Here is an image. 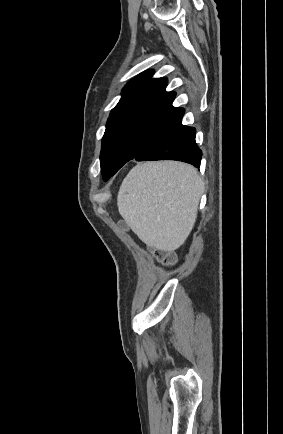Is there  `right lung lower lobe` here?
<instances>
[{"mask_svg": "<svg viewBox=\"0 0 283 434\" xmlns=\"http://www.w3.org/2000/svg\"><path fill=\"white\" fill-rule=\"evenodd\" d=\"M196 130L184 126L181 119L151 141L134 159L178 160L198 167L202 152L195 142Z\"/></svg>", "mask_w": 283, "mask_h": 434, "instance_id": "right-lung-lower-lobe-1", "label": "right lung lower lobe"}]
</instances>
